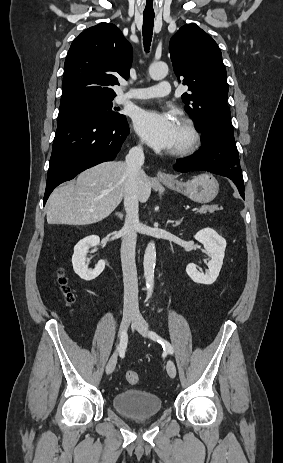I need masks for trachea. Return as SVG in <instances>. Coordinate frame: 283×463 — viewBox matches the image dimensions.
<instances>
[{
  "mask_svg": "<svg viewBox=\"0 0 283 463\" xmlns=\"http://www.w3.org/2000/svg\"><path fill=\"white\" fill-rule=\"evenodd\" d=\"M154 26V15H143V44L146 52H149Z\"/></svg>",
  "mask_w": 283,
  "mask_h": 463,
  "instance_id": "obj_1",
  "label": "trachea"
}]
</instances>
